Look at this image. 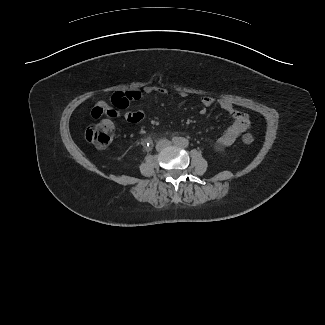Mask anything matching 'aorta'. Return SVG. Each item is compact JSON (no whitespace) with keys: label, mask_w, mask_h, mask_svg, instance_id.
<instances>
[{"label":"aorta","mask_w":325,"mask_h":325,"mask_svg":"<svg viewBox=\"0 0 325 325\" xmlns=\"http://www.w3.org/2000/svg\"><path fill=\"white\" fill-rule=\"evenodd\" d=\"M188 143V140L182 137L177 140V144L181 147H187Z\"/></svg>","instance_id":"aorta-1"}]
</instances>
